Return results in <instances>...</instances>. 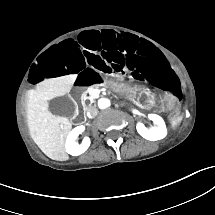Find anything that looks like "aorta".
I'll list each match as a JSON object with an SVG mask.
<instances>
[{"instance_id": "obj_1", "label": "aorta", "mask_w": 215, "mask_h": 215, "mask_svg": "<svg viewBox=\"0 0 215 215\" xmlns=\"http://www.w3.org/2000/svg\"><path fill=\"white\" fill-rule=\"evenodd\" d=\"M110 105H111V102L108 98H100L98 100V107L100 109H106V108L110 107Z\"/></svg>"}]
</instances>
